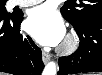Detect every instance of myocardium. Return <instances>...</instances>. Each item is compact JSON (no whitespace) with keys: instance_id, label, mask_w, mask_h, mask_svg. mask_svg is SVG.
I'll return each instance as SVG.
<instances>
[{"instance_id":"myocardium-1","label":"myocardium","mask_w":102,"mask_h":75,"mask_svg":"<svg viewBox=\"0 0 102 75\" xmlns=\"http://www.w3.org/2000/svg\"><path fill=\"white\" fill-rule=\"evenodd\" d=\"M80 41L76 34L68 33L65 37L62 45L60 46V52L65 55H70L74 53L79 47Z\"/></svg>"}]
</instances>
